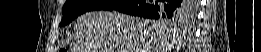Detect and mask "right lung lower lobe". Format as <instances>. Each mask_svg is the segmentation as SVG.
<instances>
[{
	"label": "right lung lower lobe",
	"instance_id": "right-lung-lower-lobe-1",
	"mask_svg": "<svg viewBox=\"0 0 261 52\" xmlns=\"http://www.w3.org/2000/svg\"><path fill=\"white\" fill-rule=\"evenodd\" d=\"M103 10H117L122 13L156 19L158 17L184 16L186 10L185 1L182 0H127L117 1Z\"/></svg>",
	"mask_w": 261,
	"mask_h": 52
}]
</instances>
